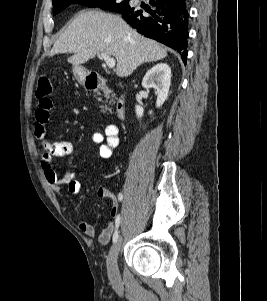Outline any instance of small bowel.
Returning <instances> with one entry per match:
<instances>
[{"label": "small bowel", "instance_id": "obj_1", "mask_svg": "<svg viewBox=\"0 0 267 301\" xmlns=\"http://www.w3.org/2000/svg\"><path fill=\"white\" fill-rule=\"evenodd\" d=\"M52 109V101L49 97L39 98L37 108L35 110V126L34 134L41 142L43 154L40 159V165L44 177L55 193H59L62 186H65L71 194H78L81 190V181L79 175L74 170L66 169L60 177L54 170V161L59 159L63 161L73 152V145L68 141L51 142L47 138L46 125L49 121L50 110ZM74 113L77 110L74 109ZM93 144L99 145V155L101 158H109L113 150L119 144V129L114 124L106 126L103 132H95L91 136ZM99 199H110L112 201L111 217L106 228L97 233L96 229L85 221H79V229L89 237H97L101 244H107L111 240L114 230H116V219L119 216L118 204L112 193L105 187H100L97 190Z\"/></svg>", "mask_w": 267, "mask_h": 301}]
</instances>
